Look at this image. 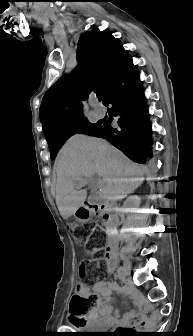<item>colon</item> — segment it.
Listing matches in <instances>:
<instances>
[{
  "label": "colon",
  "instance_id": "obj_1",
  "mask_svg": "<svg viewBox=\"0 0 193 336\" xmlns=\"http://www.w3.org/2000/svg\"><path fill=\"white\" fill-rule=\"evenodd\" d=\"M69 228L71 230L74 229V225L70 224ZM77 243L84 246L87 252L92 253H99L102 246L99 243L96 235L91 234L89 236H77L76 237ZM92 265V261L89 259L83 260L80 263V278L85 279L87 278L90 266ZM83 284V283H82ZM99 303V298L95 294H75L72 296L70 301V311L74 318L76 319H87L90 314L96 309ZM124 332H120V336H123Z\"/></svg>",
  "mask_w": 193,
  "mask_h": 336
}]
</instances>
